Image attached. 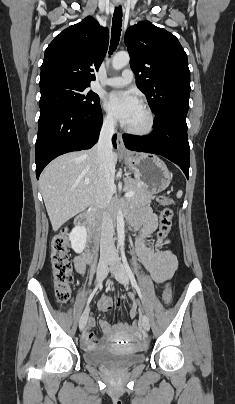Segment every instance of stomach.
<instances>
[{"label":"stomach","mask_w":235,"mask_h":404,"mask_svg":"<svg viewBox=\"0 0 235 404\" xmlns=\"http://www.w3.org/2000/svg\"><path fill=\"white\" fill-rule=\"evenodd\" d=\"M126 166L143 182L152 194L165 190L171 181V174L166 164L153 154H130L124 157Z\"/></svg>","instance_id":"stomach-1"}]
</instances>
